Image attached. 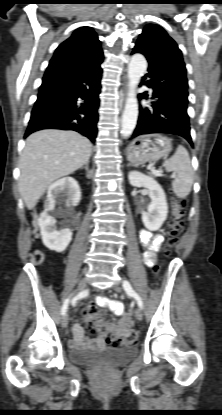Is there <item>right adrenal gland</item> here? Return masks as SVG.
Wrapping results in <instances>:
<instances>
[{
	"instance_id": "2a0ac1e0",
	"label": "right adrenal gland",
	"mask_w": 222,
	"mask_h": 415,
	"mask_svg": "<svg viewBox=\"0 0 222 415\" xmlns=\"http://www.w3.org/2000/svg\"><path fill=\"white\" fill-rule=\"evenodd\" d=\"M82 168H84L88 173L89 171V163H86Z\"/></svg>"
}]
</instances>
